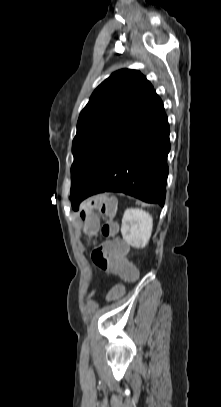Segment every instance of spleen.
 I'll return each mask as SVG.
<instances>
[{
    "label": "spleen",
    "instance_id": "1",
    "mask_svg": "<svg viewBox=\"0 0 221 407\" xmlns=\"http://www.w3.org/2000/svg\"><path fill=\"white\" fill-rule=\"evenodd\" d=\"M153 229L152 216L139 208L125 210L122 218L121 233L123 239L135 248L145 247Z\"/></svg>",
    "mask_w": 221,
    "mask_h": 407
}]
</instances>
